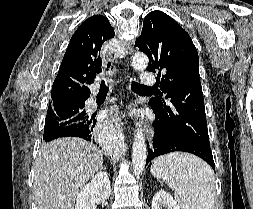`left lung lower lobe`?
I'll return each mask as SVG.
<instances>
[{
	"mask_svg": "<svg viewBox=\"0 0 253 209\" xmlns=\"http://www.w3.org/2000/svg\"><path fill=\"white\" fill-rule=\"evenodd\" d=\"M155 131L153 147L148 149L146 165L155 157L160 155L182 151L192 153L205 160L215 171L214 160L210 147L204 146L189 138L180 137L168 133L158 121L153 122Z\"/></svg>",
	"mask_w": 253,
	"mask_h": 209,
	"instance_id": "0a47b994",
	"label": "left lung lower lobe"
}]
</instances>
